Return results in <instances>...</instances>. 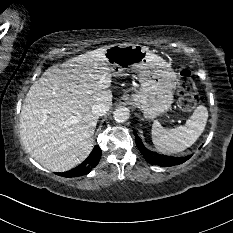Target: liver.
<instances>
[{
    "label": "liver",
    "mask_w": 233,
    "mask_h": 233,
    "mask_svg": "<svg viewBox=\"0 0 233 233\" xmlns=\"http://www.w3.org/2000/svg\"><path fill=\"white\" fill-rule=\"evenodd\" d=\"M104 46L49 67L33 83L21 109L25 150L43 167L64 172L92 151L98 102L112 105V72Z\"/></svg>",
    "instance_id": "1"
}]
</instances>
